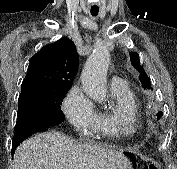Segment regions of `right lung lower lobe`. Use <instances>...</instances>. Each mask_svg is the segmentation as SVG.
I'll return each instance as SVG.
<instances>
[{
    "label": "right lung lower lobe",
    "instance_id": "right-lung-lower-lobe-1",
    "mask_svg": "<svg viewBox=\"0 0 177 169\" xmlns=\"http://www.w3.org/2000/svg\"><path fill=\"white\" fill-rule=\"evenodd\" d=\"M50 128H52V125L30 118L17 122L12 143V152L15 151L16 147L22 141L27 139L32 134L40 131H46Z\"/></svg>",
    "mask_w": 177,
    "mask_h": 169
}]
</instances>
